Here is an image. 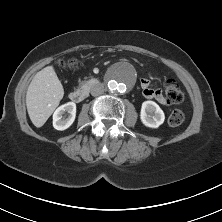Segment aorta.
Returning a JSON list of instances; mask_svg holds the SVG:
<instances>
[{"label":"aorta","mask_w":222,"mask_h":222,"mask_svg":"<svg viewBox=\"0 0 222 222\" xmlns=\"http://www.w3.org/2000/svg\"><path fill=\"white\" fill-rule=\"evenodd\" d=\"M133 82L134 77L129 73L127 67L114 69L107 77V87L113 94L126 92Z\"/></svg>","instance_id":"1"}]
</instances>
